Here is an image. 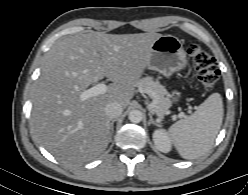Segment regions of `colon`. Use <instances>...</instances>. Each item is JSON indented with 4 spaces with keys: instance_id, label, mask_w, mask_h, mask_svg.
Masks as SVG:
<instances>
[{
    "instance_id": "5ec220e1",
    "label": "colon",
    "mask_w": 248,
    "mask_h": 195,
    "mask_svg": "<svg viewBox=\"0 0 248 195\" xmlns=\"http://www.w3.org/2000/svg\"><path fill=\"white\" fill-rule=\"evenodd\" d=\"M192 65L198 74L199 81L205 90H212L219 79V69L214 57L197 45L188 48Z\"/></svg>"
}]
</instances>
